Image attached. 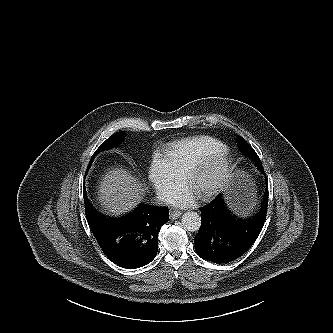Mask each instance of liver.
<instances>
[{"label":"liver","instance_id":"liver-1","mask_svg":"<svg viewBox=\"0 0 333 333\" xmlns=\"http://www.w3.org/2000/svg\"><path fill=\"white\" fill-rule=\"evenodd\" d=\"M144 186L128 170L113 168L103 175L98 199L109 213L118 215L131 210L143 198Z\"/></svg>","mask_w":333,"mask_h":333}]
</instances>
